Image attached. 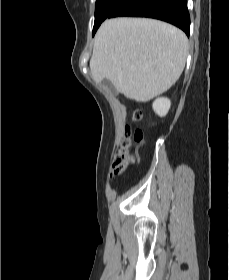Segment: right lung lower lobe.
Segmentation results:
<instances>
[{
	"instance_id": "98d812e1",
	"label": "right lung lower lobe",
	"mask_w": 229,
	"mask_h": 280,
	"mask_svg": "<svg viewBox=\"0 0 229 280\" xmlns=\"http://www.w3.org/2000/svg\"><path fill=\"white\" fill-rule=\"evenodd\" d=\"M116 16L155 18L179 27L187 36L190 32L187 0H116L106 18Z\"/></svg>"
}]
</instances>
